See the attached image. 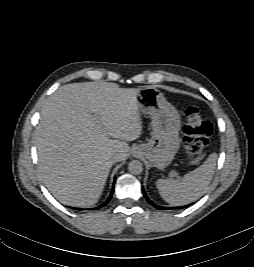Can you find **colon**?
<instances>
[{
	"instance_id": "1",
	"label": "colon",
	"mask_w": 254,
	"mask_h": 267,
	"mask_svg": "<svg viewBox=\"0 0 254 267\" xmlns=\"http://www.w3.org/2000/svg\"><path fill=\"white\" fill-rule=\"evenodd\" d=\"M212 131L211 123L201 116L197 108L186 109L183 126L184 142L188 157L192 162L199 161L203 156Z\"/></svg>"
}]
</instances>
